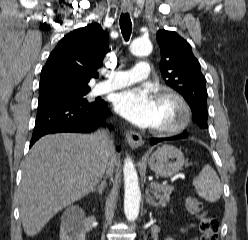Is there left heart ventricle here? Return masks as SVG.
Masks as SVG:
<instances>
[{"label":"left heart ventricle","mask_w":248,"mask_h":240,"mask_svg":"<svg viewBox=\"0 0 248 240\" xmlns=\"http://www.w3.org/2000/svg\"><path fill=\"white\" fill-rule=\"evenodd\" d=\"M159 123L157 127H162L172 123L179 114L174 102L168 99L158 98Z\"/></svg>","instance_id":"left-heart-ventricle-1"}]
</instances>
